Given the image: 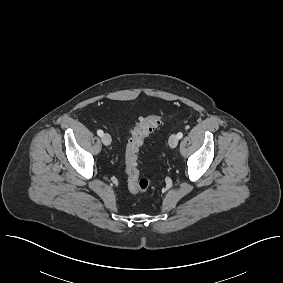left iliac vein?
<instances>
[{
    "label": "left iliac vein",
    "mask_w": 283,
    "mask_h": 283,
    "mask_svg": "<svg viewBox=\"0 0 283 283\" xmlns=\"http://www.w3.org/2000/svg\"><path fill=\"white\" fill-rule=\"evenodd\" d=\"M178 141H179V139H178V137H177V135H175V134H172L170 137H169V146L171 147V148H175L177 145H178Z\"/></svg>",
    "instance_id": "left-iliac-vein-1"
}]
</instances>
